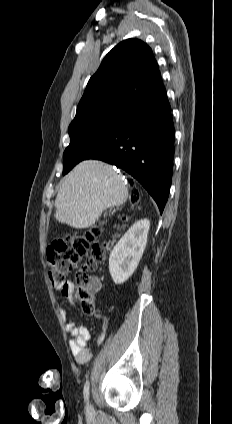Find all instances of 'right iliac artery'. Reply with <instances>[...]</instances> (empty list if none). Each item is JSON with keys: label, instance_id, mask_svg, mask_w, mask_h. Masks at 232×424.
<instances>
[{"label": "right iliac artery", "instance_id": "82829eb1", "mask_svg": "<svg viewBox=\"0 0 232 424\" xmlns=\"http://www.w3.org/2000/svg\"><path fill=\"white\" fill-rule=\"evenodd\" d=\"M89 386H90V383H89V381L87 380V381H86V383H85V385H84V391H83L85 401H87V400H88V398H89Z\"/></svg>", "mask_w": 232, "mask_h": 424}]
</instances>
